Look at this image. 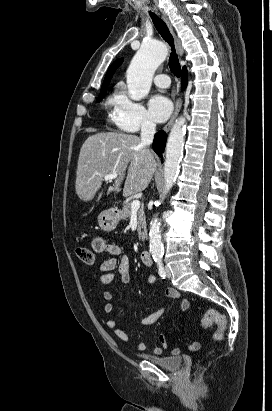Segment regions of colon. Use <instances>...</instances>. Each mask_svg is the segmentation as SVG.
<instances>
[{"label":"colon","instance_id":"1","mask_svg":"<svg viewBox=\"0 0 272 411\" xmlns=\"http://www.w3.org/2000/svg\"><path fill=\"white\" fill-rule=\"evenodd\" d=\"M78 259L86 264L93 265L95 262L94 253L87 247L79 246L76 248ZM201 324L203 328H208L212 325L217 326V330L213 335V341H220L223 338L227 321L226 318L217 311H207L202 317Z\"/></svg>","mask_w":272,"mask_h":411}]
</instances>
